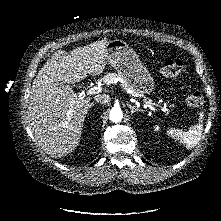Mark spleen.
Instances as JSON below:
<instances>
[{"instance_id": "spleen-1", "label": "spleen", "mask_w": 221, "mask_h": 221, "mask_svg": "<svg viewBox=\"0 0 221 221\" xmlns=\"http://www.w3.org/2000/svg\"><path fill=\"white\" fill-rule=\"evenodd\" d=\"M204 113L201 112L199 114L200 121H203ZM201 129L202 124L199 123L194 128H191L188 132H182L181 130L171 129L168 131V134L174 135L176 134L181 138V141L186 145L187 148H193L199 142L201 138Z\"/></svg>"}]
</instances>
